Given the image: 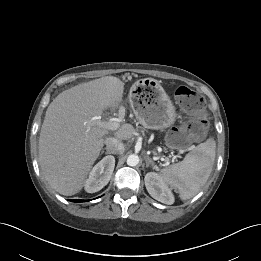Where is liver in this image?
I'll list each match as a JSON object with an SVG mask.
<instances>
[{"label": "liver", "mask_w": 261, "mask_h": 261, "mask_svg": "<svg viewBox=\"0 0 261 261\" xmlns=\"http://www.w3.org/2000/svg\"><path fill=\"white\" fill-rule=\"evenodd\" d=\"M123 90L120 79L106 76L63 91L48 106L38 159L45 180L58 193L71 196L82 190L108 133L91 119L116 107ZM134 132L131 124H123L115 137L130 140Z\"/></svg>", "instance_id": "liver-1"}]
</instances>
